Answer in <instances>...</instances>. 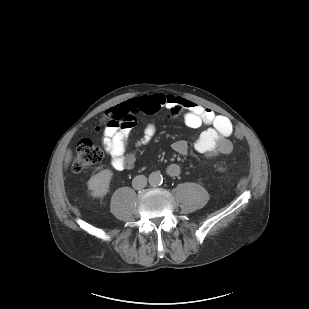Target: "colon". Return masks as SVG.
I'll return each mask as SVG.
<instances>
[{
	"mask_svg": "<svg viewBox=\"0 0 309 309\" xmlns=\"http://www.w3.org/2000/svg\"><path fill=\"white\" fill-rule=\"evenodd\" d=\"M103 121L109 125L115 124L132 128L136 123L135 118L130 113H123L117 117L114 113V108L104 116ZM235 136L241 139L243 137V132L240 129H236ZM103 156L104 151L100 146L94 144L89 139H82L76 147V153L72 161V169L76 173L82 172L99 163L103 159Z\"/></svg>",
	"mask_w": 309,
	"mask_h": 309,
	"instance_id": "5ec220e1",
	"label": "colon"
}]
</instances>
